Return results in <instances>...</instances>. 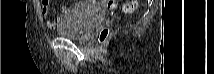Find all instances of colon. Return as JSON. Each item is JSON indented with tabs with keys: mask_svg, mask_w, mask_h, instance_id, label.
<instances>
[{
	"mask_svg": "<svg viewBox=\"0 0 214 74\" xmlns=\"http://www.w3.org/2000/svg\"><path fill=\"white\" fill-rule=\"evenodd\" d=\"M103 4H104L105 8H107V9H114L117 6V2L111 1V0L104 1ZM136 8H137L136 1H129V2L125 3L123 6V10L126 12H133ZM108 34H109L108 28L102 29L100 32L99 41L101 43H103L106 40Z\"/></svg>",
	"mask_w": 214,
	"mask_h": 74,
	"instance_id": "obj_1",
	"label": "colon"
}]
</instances>
